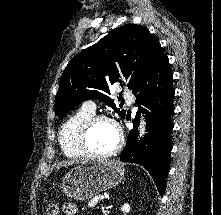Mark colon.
<instances>
[{"label": "colon", "mask_w": 221, "mask_h": 215, "mask_svg": "<svg viewBox=\"0 0 221 215\" xmlns=\"http://www.w3.org/2000/svg\"><path fill=\"white\" fill-rule=\"evenodd\" d=\"M59 209L56 204H49L46 207V215H58Z\"/></svg>", "instance_id": "5ec220e1"}]
</instances>
